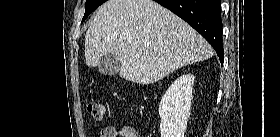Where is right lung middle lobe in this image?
<instances>
[{"mask_svg": "<svg viewBox=\"0 0 280 137\" xmlns=\"http://www.w3.org/2000/svg\"><path fill=\"white\" fill-rule=\"evenodd\" d=\"M106 1L107 0H86L85 14L82 19V22L90 15L92 11H94L97 7H99L101 4H103Z\"/></svg>", "mask_w": 280, "mask_h": 137, "instance_id": "obj_1", "label": "right lung middle lobe"}]
</instances>
